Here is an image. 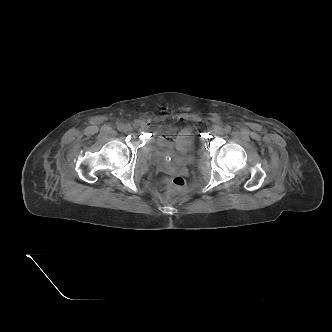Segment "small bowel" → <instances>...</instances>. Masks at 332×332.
Returning a JSON list of instances; mask_svg holds the SVG:
<instances>
[{"label": "small bowel", "instance_id": "obj_1", "mask_svg": "<svg viewBox=\"0 0 332 332\" xmlns=\"http://www.w3.org/2000/svg\"><path fill=\"white\" fill-rule=\"evenodd\" d=\"M167 115L166 113L163 114ZM177 119L182 120V115H175ZM177 131L176 128L168 125H159L157 126V142L160 146L164 147H180L184 143L191 140L192 135L195 132L193 127H184L178 131L176 137H173V134Z\"/></svg>", "mask_w": 332, "mask_h": 332}]
</instances>
